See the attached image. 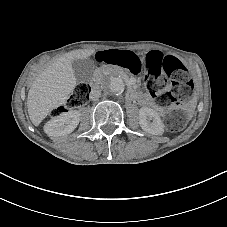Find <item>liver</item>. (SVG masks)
<instances>
[{
    "instance_id": "liver-1",
    "label": "liver",
    "mask_w": 227,
    "mask_h": 227,
    "mask_svg": "<svg viewBox=\"0 0 227 227\" xmlns=\"http://www.w3.org/2000/svg\"><path fill=\"white\" fill-rule=\"evenodd\" d=\"M92 50H74L58 58L42 71L28 92V113L32 123L38 126L51 112L63 105L76 86L71 61L86 58Z\"/></svg>"
}]
</instances>
